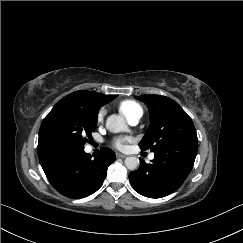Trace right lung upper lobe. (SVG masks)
<instances>
[{"mask_svg":"<svg viewBox=\"0 0 243 243\" xmlns=\"http://www.w3.org/2000/svg\"><path fill=\"white\" fill-rule=\"evenodd\" d=\"M117 95H102L92 91H75L64 98L59 103L80 107L91 113H98L99 108L115 99Z\"/></svg>","mask_w":243,"mask_h":243,"instance_id":"right-lung-upper-lobe-1","label":"right lung upper lobe"}]
</instances>
